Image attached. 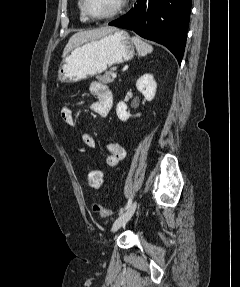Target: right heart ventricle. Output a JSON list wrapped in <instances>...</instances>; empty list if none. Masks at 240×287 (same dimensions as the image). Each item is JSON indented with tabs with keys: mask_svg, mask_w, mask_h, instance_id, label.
I'll list each match as a JSON object with an SVG mask.
<instances>
[{
	"mask_svg": "<svg viewBox=\"0 0 240 287\" xmlns=\"http://www.w3.org/2000/svg\"><path fill=\"white\" fill-rule=\"evenodd\" d=\"M77 7H78V11H79V17L80 20L83 22H87L89 20V18L85 15V13L83 12L82 9V0H78L77 2Z\"/></svg>",
	"mask_w": 240,
	"mask_h": 287,
	"instance_id": "obj_1",
	"label": "right heart ventricle"
}]
</instances>
